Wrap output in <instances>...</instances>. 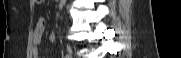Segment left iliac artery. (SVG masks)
Segmentation results:
<instances>
[{
  "mask_svg": "<svg viewBox=\"0 0 181 58\" xmlns=\"http://www.w3.org/2000/svg\"><path fill=\"white\" fill-rule=\"evenodd\" d=\"M65 58H72L71 54H66Z\"/></svg>",
  "mask_w": 181,
  "mask_h": 58,
  "instance_id": "left-iliac-artery-1",
  "label": "left iliac artery"
}]
</instances>
